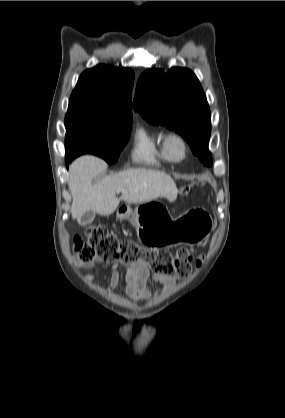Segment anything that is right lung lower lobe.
<instances>
[{"instance_id":"1","label":"right lung lower lobe","mask_w":285,"mask_h":418,"mask_svg":"<svg viewBox=\"0 0 285 418\" xmlns=\"http://www.w3.org/2000/svg\"><path fill=\"white\" fill-rule=\"evenodd\" d=\"M72 162V160L70 161V160H66V164H67V166H68V164L69 163H71Z\"/></svg>"}]
</instances>
